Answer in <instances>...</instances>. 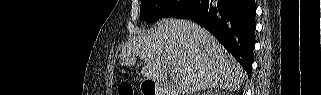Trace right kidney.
Here are the masks:
<instances>
[{
    "label": "right kidney",
    "instance_id": "right-kidney-1",
    "mask_svg": "<svg viewBox=\"0 0 321 95\" xmlns=\"http://www.w3.org/2000/svg\"><path fill=\"white\" fill-rule=\"evenodd\" d=\"M215 95H218V93L216 92ZM227 95H228V93H227Z\"/></svg>",
    "mask_w": 321,
    "mask_h": 95
}]
</instances>
